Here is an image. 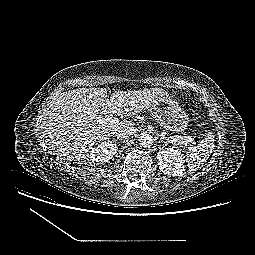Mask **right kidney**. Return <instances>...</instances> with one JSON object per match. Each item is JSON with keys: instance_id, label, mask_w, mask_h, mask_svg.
Wrapping results in <instances>:
<instances>
[{"instance_id": "ca27d5eb", "label": "right kidney", "mask_w": 255, "mask_h": 255, "mask_svg": "<svg viewBox=\"0 0 255 255\" xmlns=\"http://www.w3.org/2000/svg\"><path fill=\"white\" fill-rule=\"evenodd\" d=\"M117 145L112 142H102L96 148H92L89 160L92 162H108L117 152Z\"/></svg>"}]
</instances>
